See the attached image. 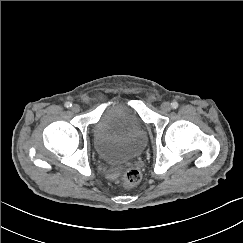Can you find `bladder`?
I'll return each mask as SVG.
<instances>
[{
	"label": "bladder",
	"instance_id": "obj_1",
	"mask_svg": "<svg viewBox=\"0 0 243 243\" xmlns=\"http://www.w3.org/2000/svg\"><path fill=\"white\" fill-rule=\"evenodd\" d=\"M97 154L110 163H124L146 147L144 124L130 102L111 100L103 104L93 129Z\"/></svg>",
	"mask_w": 243,
	"mask_h": 243
}]
</instances>
